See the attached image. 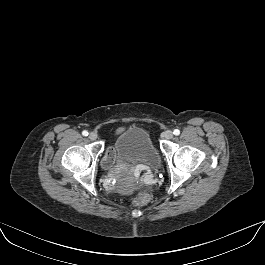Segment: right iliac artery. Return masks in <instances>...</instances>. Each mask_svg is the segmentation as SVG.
<instances>
[{
	"label": "right iliac artery",
	"instance_id": "1",
	"mask_svg": "<svg viewBox=\"0 0 265 265\" xmlns=\"http://www.w3.org/2000/svg\"><path fill=\"white\" fill-rule=\"evenodd\" d=\"M82 135H83V136H88V131L84 130V131L82 132Z\"/></svg>",
	"mask_w": 265,
	"mask_h": 265
}]
</instances>
